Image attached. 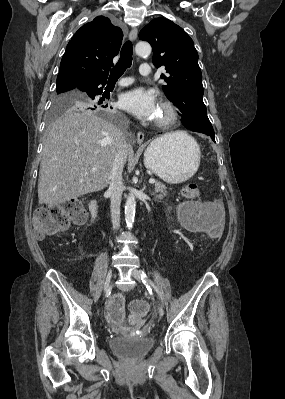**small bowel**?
<instances>
[{"mask_svg": "<svg viewBox=\"0 0 285 399\" xmlns=\"http://www.w3.org/2000/svg\"><path fill=\"white\" fill-rule=\"evenodd\" d=\"M219 201H209L202 205L191 204L180 215L184 230L190 234L211 233L217 226H221L222 217L217 211ZM180 223V221H177ZM107 321L116 329H125V298L122 294H115L106 307ZM133 325H139V320L132 319Z\"/></svg>", "mask_w": 285, "mask_h": 399, "instance_id": "c3829d8e", "label": "small bowel"}]
</instances>
